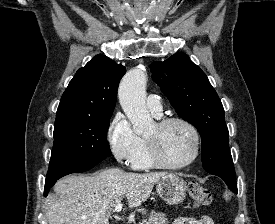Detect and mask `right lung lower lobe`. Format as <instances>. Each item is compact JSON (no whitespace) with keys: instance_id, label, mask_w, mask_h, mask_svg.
Segmentation results:
<instances>
[{"instance_id":"1","label":"right lung lower lobe","mask_w":275,"mask_h":224,"mask_svg":"<svg viewBox=\"0 0 275 224\" xmlns=\"http://www.w3.org/2000/svg\"><path fill=\"white\" fill-rule=\"evenodd\" d=\"M102 160L93 162V163L85 165V166H80V167L72 168L70 170H66V171H64V172H62V173H60L59 175H56V176L46 177L44 196H46L48 194L50 188L55 184V182L59 178L65 176V175L71 174V173H82V172H85V171L91 169L92 167H94L95 165H97Z\"/></svg>"}]
</instances>
